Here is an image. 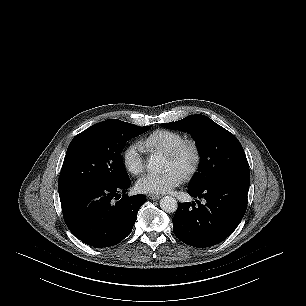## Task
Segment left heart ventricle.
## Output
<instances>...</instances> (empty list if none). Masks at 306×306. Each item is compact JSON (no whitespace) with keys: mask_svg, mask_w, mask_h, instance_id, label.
I'll return each instance as SVG.
<instances>
[{"mask_svg":"<svg viewBox=\"0 0 306 306\" xmlns=\"http://www.w3.org/2000/svg\"><path fill=\"white\" fill-rule=\"evenodd\" d=\"M192 160H193V155L191 150H186L177 160H173L166 157L165 169L166 170L176 169L182 175H184L187 169L190 167Z\"/></svg>","mask_w":306,"mask_h":306,"instance_id":"b2bd125f","label":"left heart ventricle"}]
</instances>
